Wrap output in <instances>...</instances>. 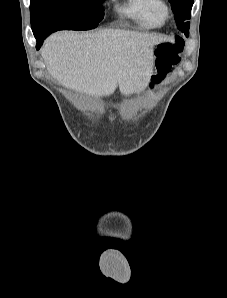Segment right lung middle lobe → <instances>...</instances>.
Masks as SVG:
<instances>
[{
  "instance_id": "1",
  "label": "right lung middle lobe",
  "mask_w": 227,
  "mask_h": 298,
  "mask_svg": "<svg viewBox=\"0 0 227 298\" xmlns=\"http://www.w3.org/2000/svg\"><path fill=\"white\" fill-rule=\"evenodd\" d=\"M104 0H30L32 31L89 30L103 19Z\"/></svg>"
}]
</instances>
